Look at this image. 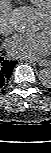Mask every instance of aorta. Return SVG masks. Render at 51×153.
Wrapping results in <instances>:
<instances>
[{"label":"aorta","instance_id":"1","mask_svg":"<svg viewBox=\"0 0 51 153\" xmlns=\"http://www.w3.org/2000/svg\"><path fill=\"white\" fill-rule=\"evenodd\" d=\"M40 20L41 15L39 11L29 5L19 6L11 14L12 26L21 33H32L36 31ZM38 77L43 86H51V69L49 67L41 69Z\"/></svg>","mask_w":51,"mask_h":153}]
</instances>
